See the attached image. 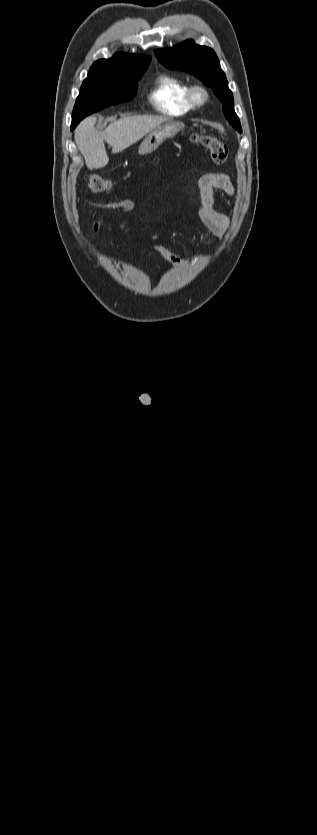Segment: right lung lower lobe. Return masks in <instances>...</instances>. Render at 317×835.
Returning a JSON list of instances; mask_svg holds the SVG:
<instances>
[{"mask_svg":"<svg viewBox=\"0 0 317 835\" xmlns=\"http://www.w3.org/2000/svg\"><path fill=\"white\" fill-rule=\"evenodd\" d=\"M74 128H75V127H72V128H71V130H73Z\"/></svg>","mask_w":317,"mask_h":835,"instance_id":"right-lung-lower-lobe-1","label":"right lung lower lobe"}]
</instances>
